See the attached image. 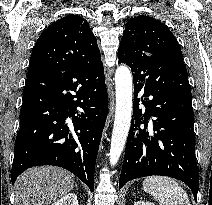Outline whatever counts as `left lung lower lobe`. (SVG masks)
<instances>
[{
	"label": "left lung lower lobe",
	"mask_w": 212,
	"mask_h": 205,
	"mask_svg": "<svg viewBox=\"0 0 212 205\" xmlns=\"http://www.w3.org/2000/svg\"><path fill=\"white\" fill-rule=\"evenodd\" d=\"M127 65L133 72L134 106L119 187L135 178L163 175L186 183L196 199L194 115L183 60L143 55ZM140 102L145 110L138 108Z\"/></svg>",
	"instance_id": "1"
}]
</instances>
